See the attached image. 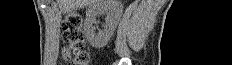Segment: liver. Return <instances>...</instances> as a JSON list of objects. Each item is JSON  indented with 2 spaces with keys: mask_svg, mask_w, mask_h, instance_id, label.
I'll return each instance as SVG.
<instances>
[{
  "mask_svg": "<svg viewBox=\"0 0 232 65\" xmlns=\"http://www.w3.org/2000/svg\"><path fill=\"white\" fill-rule=\"evenodd\" d=\"M96 1L97 0H58V4L62 12L70 13L71 11L92 5Z\"/></svg>",
  "mask_w": 232,
  "mask_h": 65,
  "instance_id": "6515ba94",
  "label": "liver"
}]
</instances>
